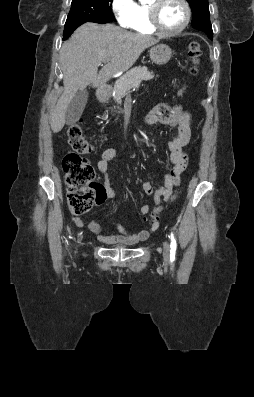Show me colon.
I'll return each instance as SVG.
<instances>
[{"instance_id": "colon-1", "label": "colon", "mask_w": 254, "mask_h": 397, "mask_svg": "<svg viewBox=\"0 0 254 397\" xmlns=\"http://www.w3.org/2000/svg\"><path fill=\"white\" fill-rule=\"evenodd\" d=\"M202 48L194 41L188 46L191 60L190 73L197 75ZM182 90L179 95L182 94ZM67 139L73 151L67 152L62 160L67 189V203L73 215H83L96 205L100 193L99 184L95 181V171L90 161L84 156L93 151L92 144L85 138L80 122L71 124L67 130ZM157 209L154 214H157Z\"/></svg>"}]
</instances>
